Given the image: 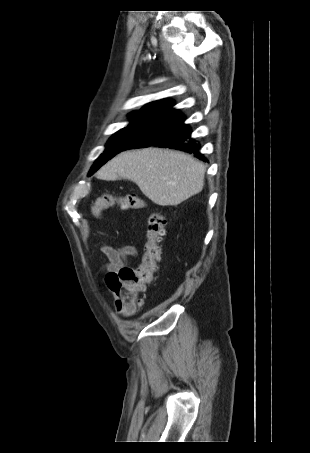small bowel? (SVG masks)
Returning <instances> with one entry per match:
<instances>
[{
    "mask_svg": "<svg viewBox=\"0 0 310 453\" xmlns=\"http://www.w3.org/2000/svg\"><path fill=\"white\" fill-rule=\"evenodd\" d=\"M101 251L109 260L106 266L107 274L118 273L123 267L127 265L129 257H137L138 253L133 245H123L119 248H114L109 244H103Z\"/></svg>",
    "mask_w": 310,
    "mask_h": 453,
    "instance_id": "c3829d8e",
    "label": "small bowel"
}]
</instances>
